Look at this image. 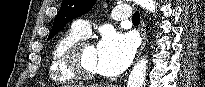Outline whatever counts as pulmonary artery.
<instances>
[{"label": "pulmonary artery", "instance_id": "obj_1", "mask_svg": "<svg viewBox=\"0 0 205 87\" xmlns=\"http://www.w3.org/2000/svg\"><path fill=\"white\" fill-rule=\"evenodd\" d=\"M132 15L131 8L129 5H120L115 7L110 11L108 19L111 21H120L130 18ZM73 29L78 32L83 37H86L90 34L91 26L88 21L77 20L73 23Z\"/></svg>", "mask_w": 205, "mask_h": 87}]
</instances>
